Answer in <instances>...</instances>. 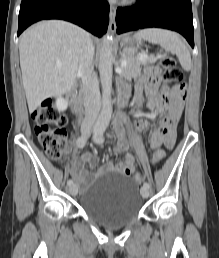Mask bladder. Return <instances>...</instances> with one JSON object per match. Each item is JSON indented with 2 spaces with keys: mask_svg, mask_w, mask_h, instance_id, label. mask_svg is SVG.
I'll list each match as a JSON object with an SVG mask.
<instances>
[{
  "mask_svg": "<svg viewBox=\"0 0 219 258\" xmlns=\"http://www.w3.org/2000/svg\"><path fill=\"white\" fill-rule=\"evenodd\" d=\"M80 208L104 226L121 227L140 214L143 202L130 178L122 173L106 171L82 192Z\"/></svg>",
  "mask_w": 219,
  "mask_h": 258,
  "instance_id": "31cf9c89",
  "label": "bladder"
}]
</instances>
